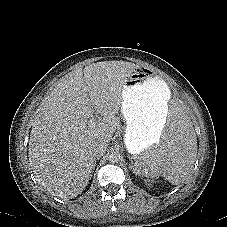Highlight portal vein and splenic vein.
<instances>
[{
  "label": "portal vein and splenic vein",
  "mask_w": 227,
  "mask_h": 227,
  "mask_svg": "<svg viewBox=\"0 0 227 227\" xmlns=\"http://www.w3.org/2000/svg\"><path fill=\"white\" fill-rule=\"evenodd\" d=\"M95 124H96V119H95V118H91V119L89 120V122H88V125H89L90 127L95 126Z\"/></svg>",
  "instance_id": "obj_1"
}]
</instances>
